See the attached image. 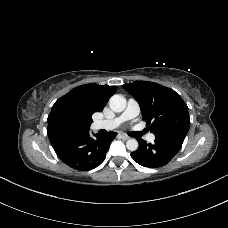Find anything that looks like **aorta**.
<instances>
[{
	"label": "aorta",
	"instance_id": "aorta-1",
	"mask_svg": "<svg viewBox=\"0 0 228 228\" xmlns=\"http://www.w3.org/2000/svg\"><path fill=\"white\" fill-rule=\"evenodd\" d=\"M127 101L126 99L119 94L113 95L109 100V106L112 111L118 113L122 112L126 108ZM138 141L136 139H129L126 142V147L130 151H136L138 149Z\"/></svg>",
	"mask_w": 228,
	"mask_h": 228
}]
</instances>
